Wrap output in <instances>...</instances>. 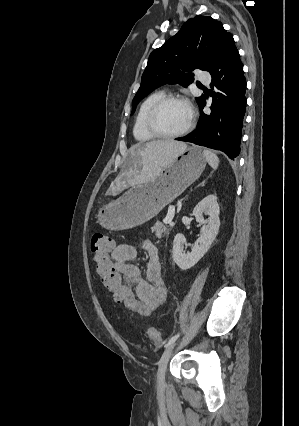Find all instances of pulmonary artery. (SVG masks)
<instances>
[{
  "label": "pulmonary artery",
  "mask_w": 299,
  "mask_h": 426,
  "mask_svg": "<svg viewBox=\"0 0 299 426\" xmlns=\"http://www.w3.org/2000/svg\"><path fill=\"white\" fill-rule=\"evenodd\" d=\"M200 80H201L202 82H204V83H209V81H210V76H209V75H207V74H203V75H201V76H200Z\"/></svg>",
  "instance_id": "obj_1"
}]
</instances>
